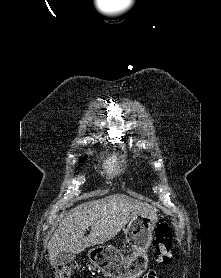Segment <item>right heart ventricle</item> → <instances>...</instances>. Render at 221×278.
Segmentation results:
<instances>
[{
	"label": "right heart ventricle",
	"instance_id": "e07e8e85",
	"mask_svg": "<svg viewBox=\"0 0 221 278\" xmlns=\"http://www.w3.org/2000/svg\"><path fill=\"white\" fill-rule=\"evenodd\" d=\"M119 159L117 157L112 158L107 165V169L109 172H113L119 165Z\"/></svg>",
	"mask_w": 221,
	"mask_h": 278
}]
</instances>
